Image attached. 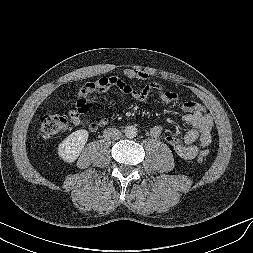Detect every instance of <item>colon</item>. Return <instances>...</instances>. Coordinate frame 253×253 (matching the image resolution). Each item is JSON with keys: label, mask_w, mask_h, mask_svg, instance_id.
Instances as JSON below:
<instances>
[{"label": "colon", "mask_w": 253, "mask_h": 253, "mask_svg": "<svg viewBox=\"0 0 253 253\" xmlns=\"http://www.w3.org/2000/svg\"><path fill=\"white\" fill-rule=\"evenodd\" d=\"M67 129V120L60 114H43L40 118V134L48 139L57 136ZM210 152L207 149L198 153L197 160L203 162L207 159Z\"/></svg>", "instance_id": "colon-1"}]
</instances>
